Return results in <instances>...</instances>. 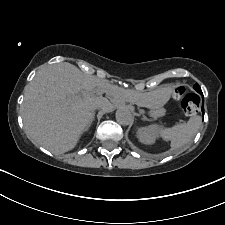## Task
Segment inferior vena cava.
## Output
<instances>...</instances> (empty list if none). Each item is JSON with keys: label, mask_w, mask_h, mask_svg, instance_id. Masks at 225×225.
<instances>
[{"label": "inferior vena cava", "mask_w": 225, "mask_h": 225, "mask_svg": "<svg viewBox=\"0 0 225 225\" xmlns=\"http://www.w3.org/2000/svg\"><path fill=\"white\" fill-rule=\"evenodd\" d=\"M102 108L101 106H96L95 109Z\"/></svg>", "instance_id": "602c4592"}]
</instances>
